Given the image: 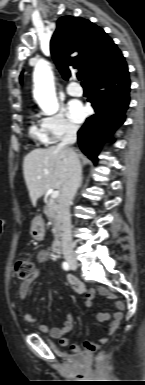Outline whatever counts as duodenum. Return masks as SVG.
Instances as JSON below:
<instances>
[{"instance_id": "1", "label": "duodenum", "mask_w": 145, "mask_h": 385, "mask_svg": "<svg viewBox=\"0 0 145 385\" xmlns=\"http://www.w3.org/2000/svg\"><path fill=\"white\" fill-rule=\"evenodd\" d=\"M62 252V244L59 240L55 241L52 246V254L55 257H59Z\"/></svg>"}]
</instances>
